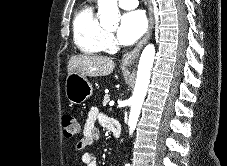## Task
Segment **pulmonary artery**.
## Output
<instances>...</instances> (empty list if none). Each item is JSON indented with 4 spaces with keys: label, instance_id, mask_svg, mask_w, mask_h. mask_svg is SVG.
<instances>
[{
    "label": "pulmonary artery",
    "instance_id": "pulmonary-artery-1",
    "mask_svg": "<svg viewBox=\"0 0 227 166\" xmlns=\"http://www.w3.org/2000/svg\"><path fill=\"white\" fill-rule=\"evenodd\" d=\"M118 4L122 9L132 10L138 6V0H118Z\"/></svg>",
    "mask_w": 227,
    "mask_h": 166
}]
</instances>
